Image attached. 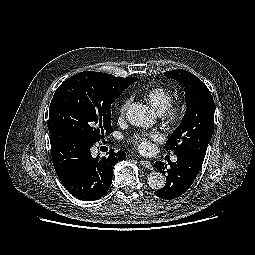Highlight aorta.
Masks as SVG:
<instances>
[{"label":"aorta","mask_w":255,"mask_h":255,"mask_svg":"<svg viewBox=\"0 0 255 255\" xmlns=\"http://www.w3.org/2000/svg\"><path fill=\"white\" fill-rule=\"evenodd\" d=\"M127 120L133 126L150 127L155 122V117L148 106L133 103L127 110ZM147 183L153 190H160L165 186L166 178L161 172L153 171L147 177Z\"/></svg>","instance_id":"aorta-1"}]
</instances>
